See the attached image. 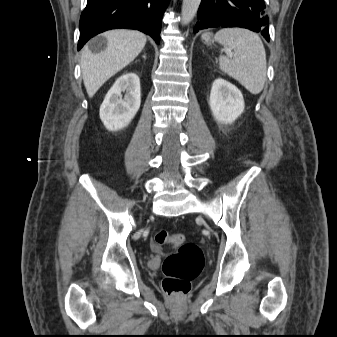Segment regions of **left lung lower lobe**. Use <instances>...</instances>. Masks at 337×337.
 Segmentation results:
<instances>
[{
	"instance_id": "1",
	"label": "left lung lower lobe",
	"mask_w": 337,
	"mask_h": 337,
	"mask_svg": "<svg viewBox=\"0 0 337 337\" xmlns=\"http://www.w3.org/2000/svg\"><path fill=\"white\" fill-rule=\"evenodd\" d=\"M264 0H202L194 32L210 27H242L261 32L269 41Z\"/></svg>"
}]
</instances>
